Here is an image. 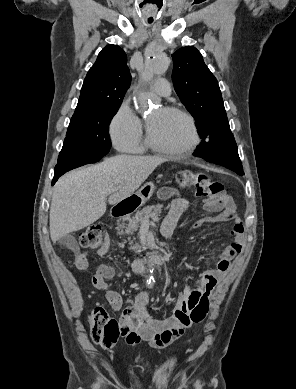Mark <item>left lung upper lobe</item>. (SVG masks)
I'll use <instances>...</instances> for the list:
<instances>
[{
  "mask_svg": "<svg viewBox=\"0 0 296 389\" xmlns=\"http://www.w3.org/2000/svg\"><path fill=\"white\" fill-rule=\"evenodd\" d=\"M172 58L175 91L197 121L200 137L206 140L214 129L228 122L218 82L196 48H180Z\"/></svg>",
  "mask_w": 296,
  "mask_h": 389,
  "instance_id": "obj_1",
  "label": "left lung upper lobe"
}]
</instances>
